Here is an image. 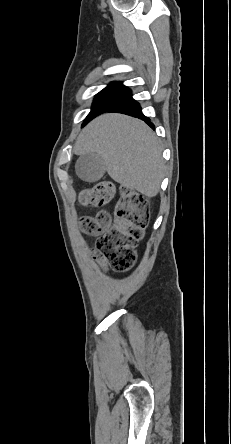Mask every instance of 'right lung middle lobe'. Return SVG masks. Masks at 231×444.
<instances>
[{"label":"right lung middle lobe","mask_w":231,"mask_h":444,"mask_svg":"<svg viewBox=\"0 0 231 444\" xmlns=\"http://www.w3.org/2000/svg\"><path fill=\"white\" fill-rule=\"evenodd\" d=\"M128 94L129 93L126 90L119 89L116 87L109 86L103 89L95 96L91 112L88 114L83 125L88 123L91 119H93L97 115L106 111L108 108L118 103Z\"/></svg>","instance_id":"right-lung-middle-lobe-1"}]
</instances>
